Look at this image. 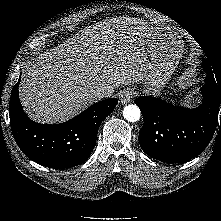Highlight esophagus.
Masks as SVG:
<instances>
[{"label": "esophagus", "mask_w": 221, "mask_h": 221, "mask_svg": "<svg viewBox=\"0 0 221 221\" xmlns=\"http://www.w3.org/2000/svg\"><path fill=\"white\" fill-rule=\"evenodd\" d=\"M134 91L131 89H126L124 91H122V93L120 94V101L123 104H127L129 103L132 98L134 97Z\"/></svg>", "instance_id": "1"}]
</instances>
